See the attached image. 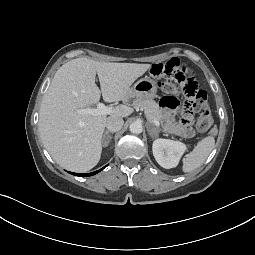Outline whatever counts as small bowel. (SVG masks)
Wrapping results in <instances>:
<instances>
[{"label": "small bowel", "instance_id": "c3829d8e", "mask_svg": "<svg viewBox=\"0 0 255 255\" xmlns=\"http://www.w3.org/2000/svg\"><path fill=\"white\" fill-rule=\"evenodd\" d=\"M177 104V100L174 97H164L161 100L166 128L173 134L186 138L193 137L195 132L192 128L191 116L183 115L179 120L175 119Z\"/></svg>", "mask_w": 255, "mask_h": 255}]
</instances>
